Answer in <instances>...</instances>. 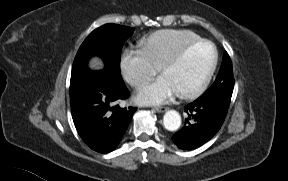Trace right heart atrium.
Segmentation results:
<instances>
[{
	"label": "right heart atrium",
	"instance_id": "1",
	"mask_svg": "<svg viewBox=\"0 0 288 181\" xmlns=\"http://www.w3.org/2000/svg\"><path fill=\"white\" fill-rule=\"evenodd\" d=\"M120 68L126 81L134 87L143 86L158 71L139 48L126 49L122 52Z\"/></svg>",
	"mask_w": 288,
	"mask_h": 181
}]
</instances>
